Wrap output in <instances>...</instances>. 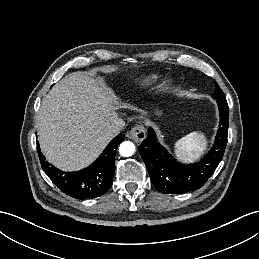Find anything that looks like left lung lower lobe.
<instances>
[{"mask_svg": "<svg viewBox=\"0 0 259 259\" xmlns=\"http://www.w3.org/2000/svg\"><path fill=\"white\" fill-rule=\"evenodd\" d=\"M220 122L215 143L198 163L183 165L176 162L161 146L152 128L139 146V153L148 169L152 183L163 193L181 194L201 188L212 176L223 158L227 144L229 107L226 99L216 100Z\"/></svg>", "mask_w": 259, "mask_h": 259, "instance_id": "obj_1", "label": "left lung lower lobe"}]
</instances>
